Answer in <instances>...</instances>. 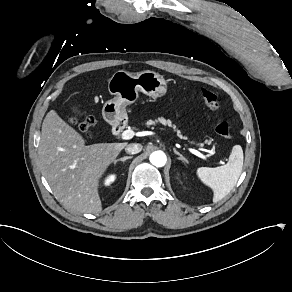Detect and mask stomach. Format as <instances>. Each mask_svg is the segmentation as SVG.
I'll list each match as a JSON object with an SVG mask.
<instances>
[{
  "label": "stomach",
  "instance_id": "stomach-1",
  "mask_svg": "<svg viewBox=\"0 0 292 292\" xmlns=\"http://www.w3.org/2000/svg\"><path fill=\"white\" fill-rule=\"evenodd\" d=\"M108 89L115 97L104 104L102 115L113 125L127 117L125 107L137 100L139 91L152 98H161L167 94L168 85L164 77L154 71L130 73L120 70L108 80Z\"/></svg>",
  "mask_w": 292,
  "mask_h": 292
}]
</instances>
